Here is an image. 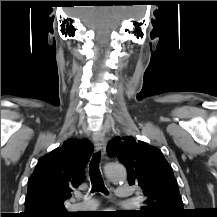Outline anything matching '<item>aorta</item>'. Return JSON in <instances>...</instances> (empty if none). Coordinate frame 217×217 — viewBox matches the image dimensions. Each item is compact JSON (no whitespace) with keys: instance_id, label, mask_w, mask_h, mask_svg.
<instances>
[{"instance_id":"obj_1","label":"aorta","mask_w":217,"mask_h":217,"mask_svg":"<svg viewBox=\"0 0 217 217\" xmlns=\"http://www.w3.org/2000/svg\"><path fill=\"white\" fill-rule=\"evenodd\" d=\"M105 174L112 182L122 181L126 177L125 168L117 163H108L105 166Z\"/></svg>"}]
</instances>
